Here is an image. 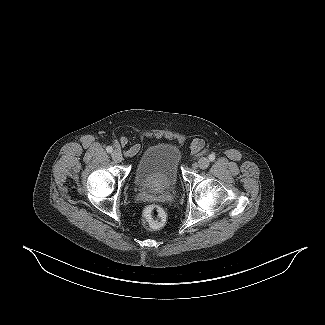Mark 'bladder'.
<instances>
[{
  "label": "bladder",
  "instance_id": "obj_1",
  "mask_svg": "<svg viewBox=\"0 0 325 325\" xmlns=\"http://www.w3.org/2000/svg\"><path fill=\"white\" fill-rule=\"evenodd\" d=\"M180 160V150L175 145H152L143 152L136 165L135 182L143 188H172L179 179Z\"/></svg>",
  "mask_w": 325,
  "mask_h": 325
}]
</instances>
